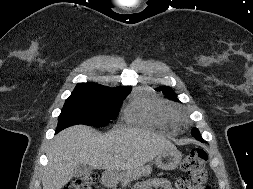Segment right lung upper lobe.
Listing matches in <instances>:
<instances>
[{"mask_svg":"<svg viewBox=\"0 0 253 189\" xmlns=\"http://www.w3.org/2000/svg\"><path fill=\"white\" fill-rule=\"evenodd\" d=\"M131 87L109 88L96 83H79L73 92H97V91H125Z\"/></svg>","mask_w":253,"mask_h":189,"instance_id":"1","label":"right lung upper lobe"}]
</instances>
